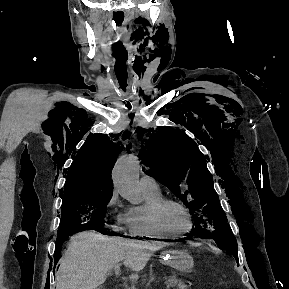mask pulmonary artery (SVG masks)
Segmentation results:
<instances>
[{
  "label": "pulmonary artery",
  "mask_w": 289,
  "mask_h": 289,
  "mask_svg": "<svg viewBox=\"0 0 289 289\" xmlns=\"http://www.w3.org/2000/svg\"><path fill=\"white\" fill-rule=\"evenodd\" d=\"M140 187L143 191L152 193L159 192L158 182L150 175H143L140 178Z\"/></svg>",
  "instance_id": "1"
}]
</instances>
